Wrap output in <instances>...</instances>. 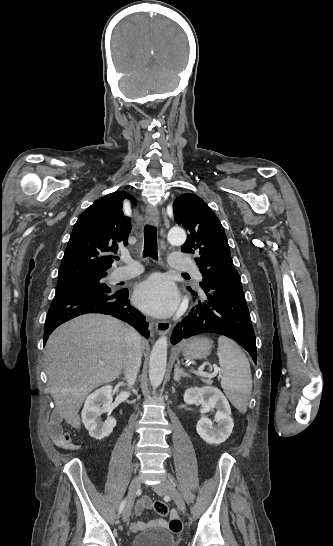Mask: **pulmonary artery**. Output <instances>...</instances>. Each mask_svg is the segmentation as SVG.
<instances>
[{"mask_svg": "<svg viewBox=\"0 0 333 546\" xmlns=\"http://www.w3.org/2000/svg\"><path fill=\"white\" fill-rule=\"evenodd\" d=\"M125 266L115 268L111 273V279L114 281L126 280L132 278L141 273L142 268L131 258H124ZM170 266L173 269L180 271L194 270V263L187 255L184 254H172L170 256ZM195 275L198 279L201 278L199 272L195 271Z\"/></svg>", "mask_w": 333, "mask_h": 546, "instance_id": "e3ab8cb5", "label": "pulmonary artery"}]
</instances>
